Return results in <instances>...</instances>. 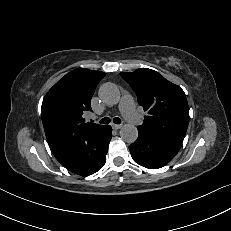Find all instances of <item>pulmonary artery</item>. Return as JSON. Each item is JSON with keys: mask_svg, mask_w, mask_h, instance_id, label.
<instances>
[{"mask_svg": "<svg viewBox=\"0 0 231 231\" xmlns=\"http://www.w3.org/2000/svg\"><path fill=\"white\" fill-rule=\"evenodd\" d=\"M119 110L131 124L140 125L142 123L141 116L137 112L134 100L131 96L125 95L122 97Z\"/></svg>", "mask_w": 231, "mask_h": 231, "instance_id": "e3ab8cb5", "label": "pulmonary artery"}]
</instances>
